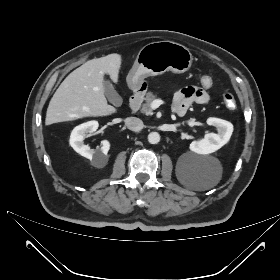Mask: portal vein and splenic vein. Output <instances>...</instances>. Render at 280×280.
<instances>
[{"label": "portal vein and splenic vein", "instance_id": "obj_1", "mask_svg": "<svg viewBox=\"0 0 280 280\" xmlns=\"http://www.w3.org/2000/svg\"><path fill=\"white\" fill-rule=\"evenodd\" d=\"M161 104V101L160 100H154L152 103H151V108L152 109H156L160 106Z\"/></svg>", "mask_w": 280, "mask_h": 280}]
</instances>
